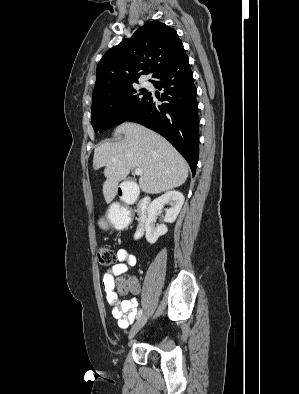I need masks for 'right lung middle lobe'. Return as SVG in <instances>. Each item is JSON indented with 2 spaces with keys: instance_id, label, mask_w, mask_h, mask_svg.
Returning a JSON list of instances; mask_svg holds the SVG:
<instances>
[{
  "instance_id": "right-lung-middle-lobe-1",
  "label": "right lung middle lobe",
  "mask_w": 299,
  "mask_h": 394,
  "mask_svg": "<svg viewBox=\"0 0 299 394\" xmlns=\"http://www.w3.org/2000/svg\"><path fill=\"white\" fill-rule=\"evenodd\" d=\"M147 95L144 90L137 93L132 84L93 93L91 122L94 131L103 132L123 123L143 104Z\"/></svg>"
}]
</instances>
